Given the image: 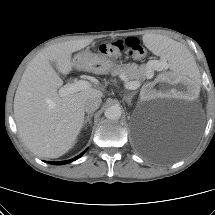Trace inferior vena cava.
I'll use <instances>...</instances> for the list:
<instances>
[{
    "label": "inferior vena cava",
    "mask_w": 215,
    "mask_h": 215,
    "mask_svg": "<svg viewBox=\"0 0 215 215\" xmlns=\"http://www.w3.org/2000/svg\"><path fill=\"white\" fill-rule=\"evenodd\" d=\"M101 102V98H90L84 103V110L87 113H92L99 108Z\"/></svg>",
    "instance_id": "inferior-vena-cava-1"
}]
</instances>
